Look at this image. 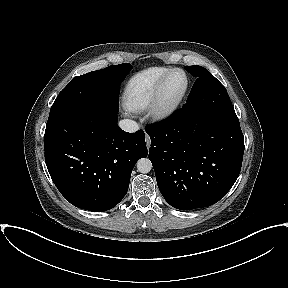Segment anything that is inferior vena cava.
I'll return each instance as SVG.
<instances>
[{"label":"inferior vena cava","mask_w":288,"mask_h":288,"mask_svg":"<svg viewBox=\"0 0 288 288\" xmlns=\"http://www.w3.org/2000/svg\"><path fill=\"white\" fill-rule=\"evenodd\" d=\"M119 126L122 130L126 132H136L139 130V125L137 122L130 119H123L119 121Z\"/></svg>","instance_id":"1"}]
</instances>
